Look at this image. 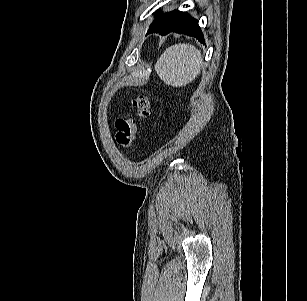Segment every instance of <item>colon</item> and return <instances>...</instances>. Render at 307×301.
<instances>
[{"label":"colon","mask_w":307,"mask_h":301,"mask_svg":"<svg viewBox=\"0 0 307 301\" xmlns=\"http://www.w3.org/2000/svg\"><path fill=\"white\" fill-rule=\"evenodd\" d=\"M134 112L128 117L118 118L115 122V139L118 145L129 149L133 145L139 125L150 115V102L147 96L138 95L133 100Z\"/></svg>","instance_id":"obj_1"}]
</instances>
